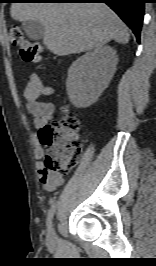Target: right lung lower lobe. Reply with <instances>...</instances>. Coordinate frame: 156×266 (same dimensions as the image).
Segmentation results:
<instances>
[{
	"mask_svg": "<svg viewBox=\"0 0 156 266\" xmlns=\"http://www.w3.org/2000/svg\"><path fill=\"white\" fill-rule=\"evenodd\" d=\"M59 3H106L140 39L146 0H44Z\"/></svg>",
	"mask_w": 156,
	"mask_h": 266,
	"instance_id": "obj_1",
	"label": "right lung lower lobe"
}]
</instances>
